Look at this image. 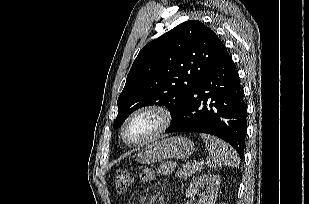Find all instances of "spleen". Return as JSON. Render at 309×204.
<instances>
[{
  "instance_id": "obj_1",
  "label": "spleen",
  "mask_w": 309,
  "mask_h": 204,
  "mask_svg": "<svg viewBox=\"0 0 309 204\" xmlns=\"http://www.w3.org/2000/svg\"><path fill=\"white\" fill-rule=\"evenodd\" d=\"M208 149L207 165L210 168L239 165L240 159L236 151L226 142L206 134H200Z\"/></svg>"
}]
</instances>
